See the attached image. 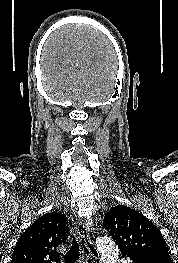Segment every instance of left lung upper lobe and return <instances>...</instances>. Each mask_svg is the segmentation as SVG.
<instances>
[{"label": "left lung upper lobe", "mask_w": 178, "mask_h": 263, "mask_svg": "<svg viewBox=\"0 0 178 263\" xmlns=\"http://www.w3.org/2000/svg\"><path fill=\"white\" fill-rule=\"evenodd\" d=\"M103 226L121 253L134 262L141 259L173 261L159 229L138 211L124 205L115 206L106 214Z\"/></svg>", "instance_id": "left-lung-upper-lobe-1"}]
</instances>
